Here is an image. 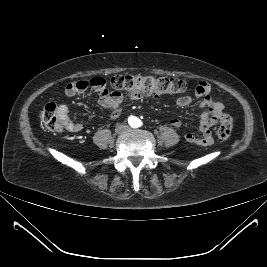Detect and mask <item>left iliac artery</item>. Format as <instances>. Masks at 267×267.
<instances>
[{"label": "left iliac artery", "mask_w": 267, "mask_h": 267, "mask_svg": "<svg viewBox=\"0 0 267 267\" xmlns=\"http://www.w3.org/2000/svg\"><path fill=\"white\" fill-rule=\"evenodd\" d=\"M141 125H142V123L139 121L138 126H141Z\"/></svg>", "instance_id": "44dca946"}]
</instances>
